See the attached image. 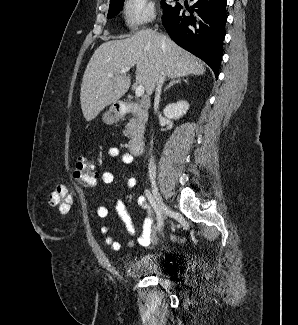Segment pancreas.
<instances>
[{
    "mask_svg": "<svg viewBox=\"0 0 298 325\" xmlns=\"http://www.w3.org/2000/svg\"><path fill=\"white\" fill-rule=\"evenodd\" d=\"M131 116L132 118H129V122L125 126V134L129 138H133L135 132H144V124L147 122L148 114L146 110H136V112H132Z\"/></svg>",
    "mask_w": 298,
    "mask_h": 325,
    "instance_id": "1",
    "label": "pancreas"
}]
</instances>
